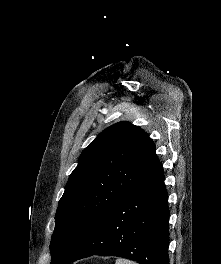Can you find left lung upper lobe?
<instances>
[{
  "label": "left lung upper lobe",
  "mask_w": 221,
  "mask_h": 264,
  "mask_svg": "<svg viewBox=\"0 0 221 264\" xmlns=\"http://www.w3.org/2000/svg\"><path fill=\"white\" fill-rule=\"evenodd\" d=\"M159 162L141 128L119 122L103 130L80 155L59 201L51 264L69 255Z\"/></svg>",
  "instance_id": "obj_1"
}]
</instances>
